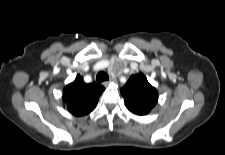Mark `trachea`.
Returning a JSON list of instances; mask_svg holds the SVG:
<instances>
[{"label":"trachea","mask_w":225,"mask_h":155,"mask_svg":"<svg viewBox=\"0 0 225 155\" xmlns=\"http://www.w3.org/2000/svg\"><path fill=\"white\" fill-rule=\"evenodd\" d=\"M107 80H109V76H108L107 73H105L104 71L98 72V74H97V76H96V81H97L98 83H101V82L107 81Z\"/></svg>","instance_id":"obj_1"}]
</instances>
